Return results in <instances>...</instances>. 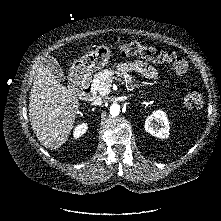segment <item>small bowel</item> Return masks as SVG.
I'll return each mask as SVG.
<instances>
[{"label":"small bowel","mask_w":221,"mask_h":221,"mask_svg":"<svg viewBox=\"0 0 221 221\" xmlns=\"http://www.w3.org/2000/svg\"><path fill=\"white\" fill-rule=\"evenodd\" d=\"M118 71L121 72H137L149 79H157L158 71L148 63L142 61L125 62L116 65Z\"/></svg>","instance_id":"small-bowel-1"}]
</instances>
